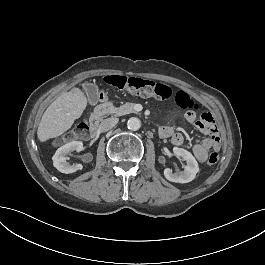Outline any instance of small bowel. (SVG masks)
I'll use <instances>...</instances> for the list:
<instances>
[{
    "label": "small bowel",
    "mask_w": 265,
    "mask_h": 265,
    "mask_svg": "<svg viewBox=\"0 0 265 265\" xmlns=\"http://www.w3.org/2000/svg\"><path fill=\"white\" fill-rule=\"evenodd\" d=\"M185 118L188 122L194 123L196 120V115L193 111H189L186 113ZM199 121L196 123L198 130L203 134L208 135L209 137L203 141L194 143L192 151L198 161L206 162L209 152L211 150L217 151L219 149L220 146L219 135L215 121H213V123L211 124V129L213 130L212 133L207 129H205L204 127H201L198 124ZM159 135L162 138L170 139L171 143L175 146H181L185 142L184 136L181 133L175 131L173 124L161 126L159 129Z\"/></svg>",
    "instance_id": "c3829d8e"
}]
</instances>
